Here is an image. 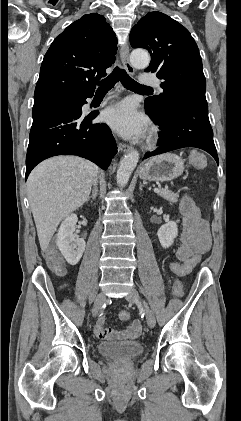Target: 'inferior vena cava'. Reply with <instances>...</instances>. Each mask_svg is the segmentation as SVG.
<instances>
[{
  "mask_svg": "<svg viewBox=\"0 0 241 421\" xmlns=\"http://www.w3.org/2000/svg\"><path fill=\"white\" fill-rule=\"evenodd\" d=\"M94 184L96 185V180H94Z\"/></svg>",
  "mask_w": 241,
  "mask_h": 421,
  "instance_id": "obj_1",
  "label": "inferior vena cava"
}]
</instances>
